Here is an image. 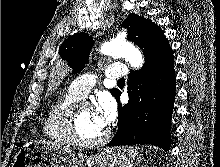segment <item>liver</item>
<instances>
[{"label": "liver", "mask_w": 220, "mask_h": 167, "mask_svg": "<svg viewBox=\"0 0 220 167\" xmlns=\"http://www.w3.org/2000/svg\"><path fill=\"white\" fill-rule=\"evenodd\" d=\"M34 142H36V143H37V142H40V143H46L45 141H34Z\"/></svg>", "instance_id": "6515ba94"}]
</instances>
